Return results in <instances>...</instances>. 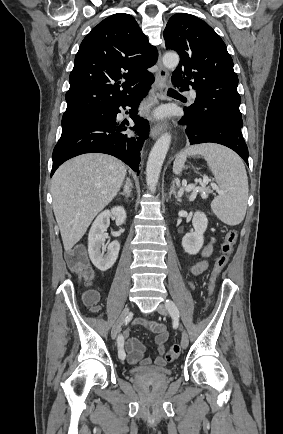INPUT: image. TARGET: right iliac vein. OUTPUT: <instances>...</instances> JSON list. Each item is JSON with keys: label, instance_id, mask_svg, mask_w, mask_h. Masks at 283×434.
<instances>
[{"label": "right iliac vein", "instance_id": "obj_1", "mask_svg": "<svg viewBox=\"0 0 283 434\" xmlns=\"http://www.w3.org/2000/svg\"><path fill=\"white\" fill-rule=\"evenodd\" d=\"M130 314V308L129 307H125L124 310L122 311V313L120 314L119 318L117 319L116 323L114 324L112 331H111V337L112 339H116L118 333L121 330V327L124 323V321L126 320V318L129 316Z\"/></svg>", "mask_w": 283, "mask_h": 434}]
</instances>
